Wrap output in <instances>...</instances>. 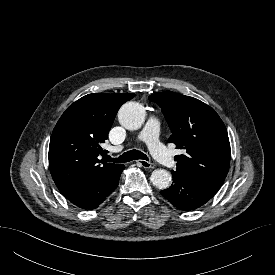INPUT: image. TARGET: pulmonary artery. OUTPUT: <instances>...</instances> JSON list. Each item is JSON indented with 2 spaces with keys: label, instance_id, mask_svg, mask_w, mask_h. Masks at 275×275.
I'll return each mask as SVG.
<instances>
[{
  "label": "pulmonary artery",
  "instance_id": "pulmonary-artery-1",
  "mask_svg": "<svg viewBox=\"0 0 275 275\" xmlns=\"http://www.w3.org/2000/svg\"><path fill=\"white\" fill-rule=\"evenodd\" d=\"M139 139L147 144L154 158L167 167H175L176 161L160 140V126L156 118L150 117L140 133Z\"/></svg>",
  "mask_w": 275,
  "mask_h": 275
}]
</instances>
